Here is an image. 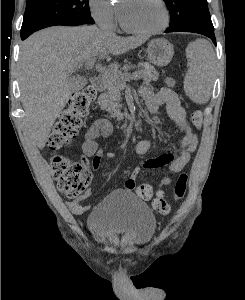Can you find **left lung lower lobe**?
<instances>
[{
  "mask_svg": "<svg viewBox=\"0 0 245 300\" xmlns=\"http://www.w3.org/2000/svg\"><path fill=\"white\" fill-rule=\"evenodd\" d=\"M179 31L194 32V33H199V34L205 35V36L209 37L213 41V43L216 45L214 28H206V27L194 26V25H183V26L175 28V29H171V30L167 29L166 33L179 32Z\"/></svg>",
  "mask_w": 245,
  "mask_h": 300,
  "instance_id": "0a47b994",
  "label": "left lung lower lobe"
}]
</instances>
